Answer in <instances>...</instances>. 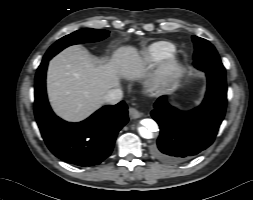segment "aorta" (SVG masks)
<instances>
[{"label":"aorta","mask_w":253,"mask_h":200,"mask_svg":"<svg viewBox=\"0 0 253 200\" xmlns=\"http://www.w3.org/2000/svg\"><path fill=\"white\" fill-rule=\"evenodd\" d=\"M142 124L143 126L138 128L140 136L145 139H151L153 137L152 132L157 130V124L152 119H145Z\"/></svg>","instance_id":"762f6f07"}]
</instances>
